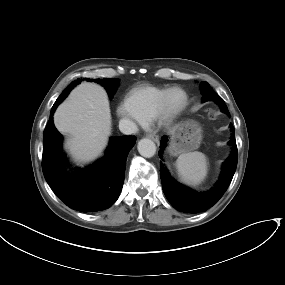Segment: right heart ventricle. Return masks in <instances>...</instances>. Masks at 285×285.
<instances>
[{
  "instance_id": "right-heart-ventricle-1",
  "label": "right heart ventricle",
  "mask_w": 285,
  "mask_h": 285,
  "mask_svg": "<svg viewBox=\"0 0 285 285\" xmlns=\"http://www.w3.org/2000/svg\"><path fill=\"white\" fill-rule=\"evenodd\" d=\"M167 90L166 87H136L126 94L125 103L141 123H149L154 120Z\"/></svg>"
}]
</instances>
